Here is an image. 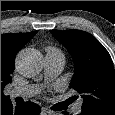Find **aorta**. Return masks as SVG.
I'll return each instance as SVG.
<instances>
[{
	"label": "aorta",
	"instance_id": "obj_1",
	"mask_svg": "<svg viewBox=\"0 0 115 115\" xmlns=\"http://www.w3.org/2000/svg\"><path fill=\"white\" fill-rule=\"evenodd\" d=\"M43 67L41 54L35 49H25L16 58V69L24 77L36 76ZM54 115H63L55 113Z\"/></svg>",
	"mask_w": 115,
	"mask_h": 115
}]
</instances>
